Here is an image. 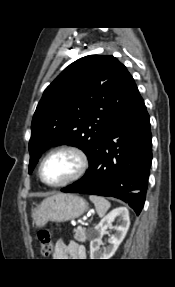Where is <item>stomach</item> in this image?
Segmentation results:
<instances>
[{"mask_svg": "<svg viewBox=\"0 0 175 287\" xmlns=\"http://www.w3.org/2000/svg\"><path fill=\"white\" fill-rule=\"evenodd\" d=\"M88 210L87 202L74 194H55L47 197L32 213L33 222L44 226L48 221L62 223L78 218Z\"/></svg>", "mask_w": 175, "mask_h": 287, "instance_id": "obj_1", "label": "stomach"}]
</instances>
